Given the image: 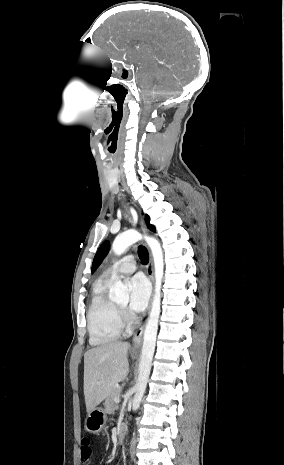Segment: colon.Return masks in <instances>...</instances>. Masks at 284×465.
<instances>
[{"mask_svg": "<svg viewBox=\"0 0 284 465\" xmlns=\"http://www.w3.org/2000/svg\"><path fill=\"white\" fill-rule=\"evenodd\" d=\"M81 460L87 461L92 455L91 443L88 437L84 436L80 441Z\"/></svg>", "mask_w": 284, "mask_h": 465, "instance_id": "colon-1", "label": "colon"}]
</instances>
